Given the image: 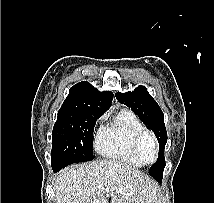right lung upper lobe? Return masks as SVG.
Here are the masks:
<instances>
[{
  "label": "right lung upper lobe",
  "mask_w": 214,
  "mask_h": 203,
  "mask_svg": "<svg viewBox=\"0 0 214 203\" xmlns=\"http://www.w3.org/2000/svg\"><path fill=\"white\" fill-rule=\"evenodd\" d=\"M112 99V92H99L89 82L82 81L70 88L62 107H85L104 113L109 108Z\"/></svg>",
  "instance_id": "obj_1"
}]
</instances>
